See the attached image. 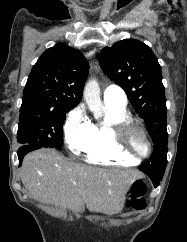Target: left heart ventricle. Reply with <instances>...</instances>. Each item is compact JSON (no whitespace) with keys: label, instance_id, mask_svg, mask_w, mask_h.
Segmentation results:
<instances>
[{"label":"left heart ventricle","instance_id":"left-heart-ventricle-1","mask_svg":"<svg viewBox=\"0 0 187 242\" xmlns=\"http://www.w3.org/2000/svg\"><path fill=\"white\" fill-rule=\"evenodd\" d=\"M127 146L129 150L137 156H143L148 151V145L138 131H132L127 136Z\"/></svg>","mask_w":187,"mask_h":242}]
</instances>
